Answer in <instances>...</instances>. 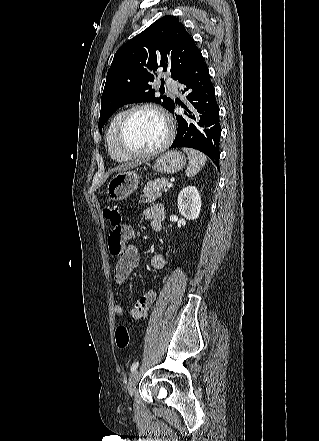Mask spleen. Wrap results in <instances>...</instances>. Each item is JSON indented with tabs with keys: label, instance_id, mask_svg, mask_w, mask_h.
I'll use <instances>...</instances> for the list:
<instances>
[{
	"label": "spleen",
	"instance_id": "1",
	"mask_svg": "<svg viewBox=\"0 0 319 441\" xmlns=\"http://www.w3.org/2000/svg\"><path fill=\"white\" fill-rule=\"evenodd\" d=\"M183 151L188 155L189 165L186 174L189 177L196 175L205 165L207 157L200 151L195 149L183 148Z\"/></svg>",
	"mask_w": 319,
	"mask_h": 441
}]
</instances>
